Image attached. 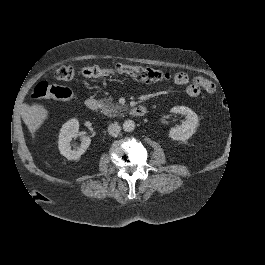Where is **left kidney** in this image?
<instances>
[{"instance_id":"obj_1","label":"left kidney","mask_w":265,"mask_h":265,"mask_svg":"<svg viewBox=\"0 0 265 265\" xmlns=\"http://www.w3.org/2000/svg\"><path fill=\"white\" fill-rule=\"evenodd\" d=\"M171 113L184 115L186 121L181 126L170 131V138L175 141L186 142L197 130L198 115L185 106L174 107L171 109Z\"/></svg>"}]
</instances>
